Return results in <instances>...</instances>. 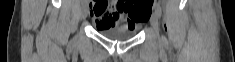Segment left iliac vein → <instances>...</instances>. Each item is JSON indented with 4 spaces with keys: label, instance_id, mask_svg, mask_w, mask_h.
<instances>
[{
    "label": "left iliac vein",
    "instance_id": "obj_1",
    "mask_svg": "<svg viewBox=\"0 0 235 62\" xmlns=\"http://www.w3.org/2000/svg\"><path fill=\"white\" fill-rule=\"evenodd\" d=\"M150 23H151V26H152L153 30L158 35L159 43H162L163 42L162 37L159 35L158 16L155 12L151 16Z\"/></svg>",
    "mask_w": 235,
    "mask_h": 62
}]
</instances>
